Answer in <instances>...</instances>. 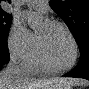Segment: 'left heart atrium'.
<instances>
[{"instance_id":"obj_1","label":"left heart atrium","mask_w":89,"mask_h":89,"mask_svg":"<svg viewBox=\"0 0 89 89\" xmlns=\"http://www.w3.org/2000/svg\"><path fill=\"white\" fill-rule=\"evenodd\" d=\"M44 23H45V25L50 24V22L48 20H45Z\"/></svg>"}]
</instances>
